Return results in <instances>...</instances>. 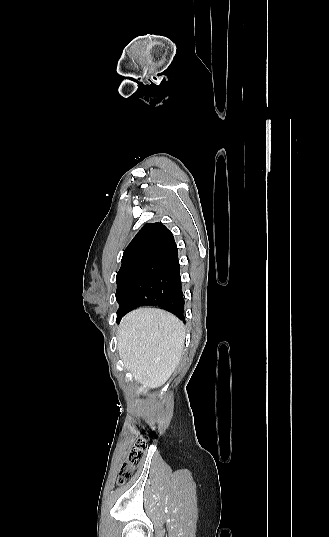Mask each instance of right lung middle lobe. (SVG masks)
Masks as SVG:
<instances>
[{
	"mask_svg": "<svg viewBox=\"0 0 329 537\" xmlns=\"http://www.w3.org/2000/svg\"><path fill=\"white\" fill-rule=\"evenodd\" d=\"M148 264L149 263L147 262H135L122 266L118 271L116 276V300L119 303V309L127 290L136 277L148 266Z\"/></svg>",
	"mask_w": 329,
	"mask_h": 537,
	"instance_id": "obj_1",
	"label": "right lung middle lobe"
}]
</instances>
